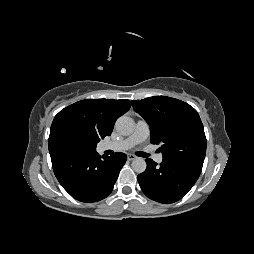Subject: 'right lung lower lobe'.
<instances>
[{
    "label": "right lung lower lobe",
    "instance_id": "obj_1",
    "mask_svg": "<svg viewBox=\"0 0 254 254\" xmlns=\"http://www.w3.org/2000/svg\"><path fill=\"white\" fill-rule=\"evenodd\" d=\"M126 160V154L121 152L111 156L71 150L51 154L53 171L59 183L81 202L106 198Z\"/></svg>",
    "mask_w": 254,
    "mask_h": 254
}]
</instances>
